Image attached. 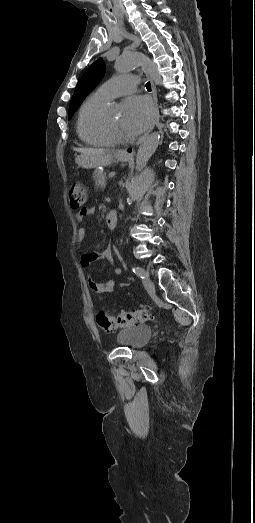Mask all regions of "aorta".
Here are the masks:
<instances>
[{"mask_svg": "<svg viewBox=\"0 0 255 523\" xmlns=\"http://www.w3.org/2000/svg\"><path fill=\"white\" fill-rule=\"evenodd\" d=\"M143 66L156 84H161L162 79L158 67L148 57L139 52L125 53L115 62V69L118 73H126L137 67ZM160 142V135L152 133L141 143L136 155V176L130 184L129 190L132 191L137 181V174L145 167L150 157L156 151Z\"/></svg>", "mask_w": 255, "mask_h": 523, "instance_id": "762f6f07", "label": "aorta"}]
</instances>
